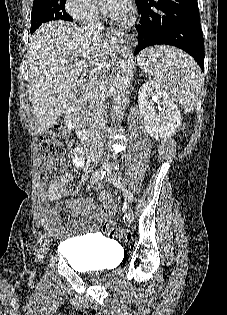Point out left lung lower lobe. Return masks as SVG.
Masks as SVG:
<instances>
[{
  "mask_svg": "<svg viewBox=\"0 0 227 315\" xmlns=\"http://www.w3.org/2000/svg\"><path fill=\"white\" fill-rule=\"evenodd\" d=\"M141 19L136 55L142 49L167 44L190 54L204 71V40L197 0H136Z\"/></svg>",
  "mask_w": 227,
  "mask_h": 315,
  "instance_id": "obj_1",
  "label": "left lung lower lobe"
}]
</instances>
